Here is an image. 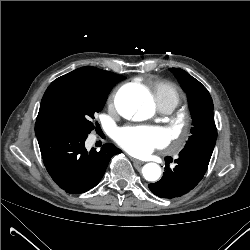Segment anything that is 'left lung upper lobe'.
<instances>
[{"label": "left lung upper lobe", "instance_id": "1", "mask_svg": "<svg viewBox=\"0 0 250 250\" xmlns=\"http://www.w3.org/2000/svg\"><path fill=\"white\" fill-rule=\"evenodd\" d=\"M181 87L187 93L192 117V135L186 146L196 142L217 139V129L213 117V101L208 90L182 69L170 68Z\"/></svg>", "mask_w": 250, "mask_h": 250}]
</instances>
